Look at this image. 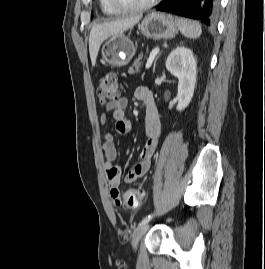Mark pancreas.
Segmentation results:
<instances>
[{
	"mask_svg": "<svg viewBox=\"0 0 265 269\" xmlns=\"http://www.w3.org/2000/svg\"><path fill=\"white\" fill-rule=\"evenodd\" d=\"M143 54H140L138 58L134 61L132 67L129 68L128 73L129 74H134L135 72H138L141 67L143 66Z\"/></svg>",
	"mask_w": 265,
	"mask_h": 269,
	"instance_id": "cf45deb5",
	"label": "pancreas"
}]
</instances>
